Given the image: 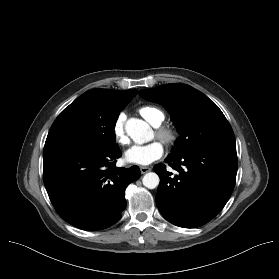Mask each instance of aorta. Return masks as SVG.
Segmentation results:
<instances>
[{
    "label": "aorta",
    "mask_w": 279,
    "mask_h": 279,
    "mask_svg": "<svg viewBox=\"0 0 279 279\" xmlns=\"http://www.w3.org/2000/svg\"><path fill=\"white\" fill-rule=\"evenodd\" d=\"M127 134L136 143L142 144L148 139L150 133L149 125L140 119L131 118L125 125ZM143 185L148 189H154L159 185L160 179L155 172L146 173L142 179Z\"/></svg>",
    "instance_id": "aorta-1"
}]
</instances>
